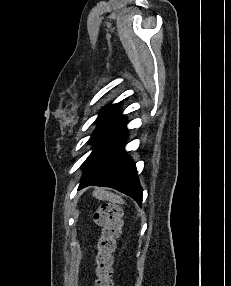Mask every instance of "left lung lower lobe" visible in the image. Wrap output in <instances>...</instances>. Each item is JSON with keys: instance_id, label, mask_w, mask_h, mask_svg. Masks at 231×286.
I'll use <instances>...</instances> for the list:
<instances>
[{"instance_id": "left-lung-lower-lobe-1", "label": "left lung lower lobe", "mask_w": 231, "mask_h": 286, "mask_svg": "<svg viewBox=\"0 0 231 286\" xmlns=\"http://www.w3.org/2000/svg\"><path fill=\"white\" fill-rule=\"evenodd\" d=\"M115 111L100 121L91 137L93 151L83 164L85 170L80 188L97 185L114 188L139 205L142 188L136 177V167L123 150L125 143V119Z\"/></svg>"}]
</instances>
